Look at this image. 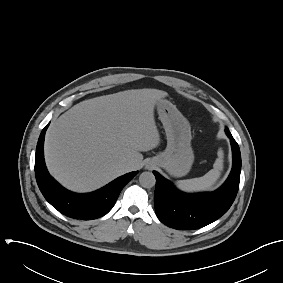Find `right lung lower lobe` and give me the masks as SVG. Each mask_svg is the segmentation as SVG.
Returning a JSON list of instances; mask_svg holds the SVG:
<instances>
[{
	"mask_svg": "<svg viewBox=\"0 0 283 283\" xmlns=\"http://www.w3.org/2000/svg\"><path fill=\"white\" fill-rule=\"evenodd\" d=\"M48 125L40 134L35 156V175L43 196L55 209L71 218L92 220L104 216L114 206L122 188L138 172L125 174L92 193L66 190L49 175L45 166L43 146Z\"/></svg>",
	"mask_w": 283,
	"mask_h": 283,
	"instance_id": "obj_1",
	"label": "right lung lower lobe"
}]
</instances>
